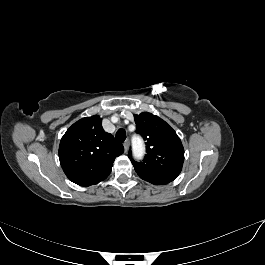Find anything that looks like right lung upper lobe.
Segmentation results:
<instances>
[{
	"label": "right lung upper lobe",
	"instance_id": "1",
	"mask_svg": "<svg viewBox=\"0 0 265 265\" xmlns=\"http://www.w3.org/2000/svg\"><path fill=\"white\" fill-rule=\"evenodd\" d=\"M124 152L102 127L98 115L74 123L63 135L59 159L66 176L80 186H91L107 178L114 160Z\"/></svg>",
	"mask_w": 265,
	"mask_h": 265
}]
</instances>
